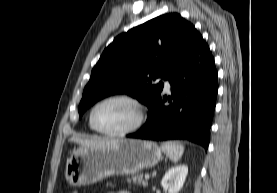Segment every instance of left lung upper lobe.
Listing matches in <instances>:
<instances>
[{
  "instance_id": "1",
  "label": "left lung upper lobe",
  "mask_w": 277,
  "mask_h": 193,
  "mask_svg": "<svg viewBox=\"0 0 277 193\" xmlns=\"http://www.w3.org/2000/svg\"><path fill=\"white\" fill-rule=\"evenodd\" d=\"M199 35L177 13L153 18L118 35L104 50L91 72L78 111L79 117L96 101L115 93H127L151 110L161 96L163 84L185 60Z\"/></svg>"
}]
</instances>
